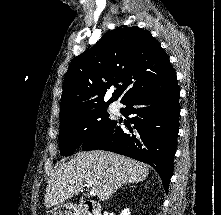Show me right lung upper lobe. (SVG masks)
Segmentation results:
<instances>
[{
    "instance_id": "cb5924a9",
    "label": "right lung upper lobe",
    "mask_w": 221,
    "mask_h": 215,
    "mask_svg": "<svg viewBox=\"0 0 221 215\" xmlns=\"http://www.w3.org/2000/svg\"><path fill=\"white\" fill-rule=\"evenodd\" d=\"M173 68L151 34L139 27L107 32L92 48L71 62L64 78L59 117L120 100L148 88ZM116 87L109 101L107 91Z\"/></svg>"
}]
</instances>
